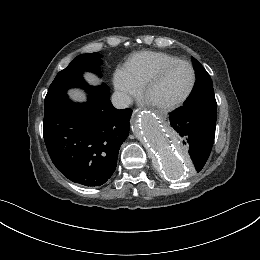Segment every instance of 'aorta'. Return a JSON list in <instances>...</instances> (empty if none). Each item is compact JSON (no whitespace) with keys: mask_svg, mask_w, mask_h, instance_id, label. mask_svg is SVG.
<instances>
[{"mask_svg":"<svg viewBox=\"0 0 260 260\" xmlns=\"http://www.w3.org/2000/svg\"><path fill=\"white\" fill-rule=\"evenodd\" d=\"M137 139L152 153L158 167L170 179L183 177L189 171L178 138L151 113L142 112L133 123Z\"/></svg>","mask_w":260,"mask_h":260,"instance_id":"obj_1","label":"aorta"}]
</instances>
